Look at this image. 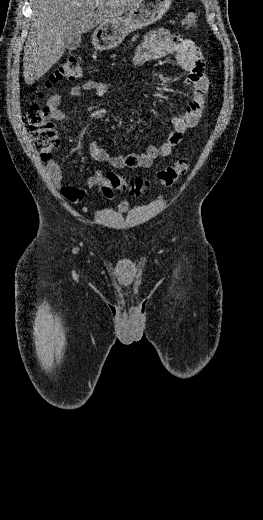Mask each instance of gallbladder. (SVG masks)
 I'll list each match as a JSON object with an SVG mask.
<instances>
[{
    "mask_svg": "<svg viewBox=\"0 0 263 520\" xmlns=\"http://www.w3.org/2000/svg\"><path fill=\"white\" fill-rule=\"evenodd\" d=\"M65 48L68 50H76L81 43L80 34H69L64 36Z\"/></svg>",
    "mask_w": 263,
    "mask_h": 520,
    "instance_id": "bac80fb5",
    "label": "gallbladder"
}]
</instances>
